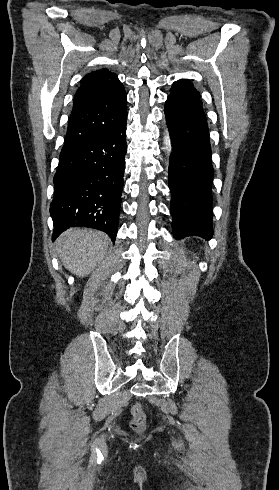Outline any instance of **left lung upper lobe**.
Returning a JSON list of instances; mask_svg holds the SVG:
<instances>
[{
  "mask_svg": "<svg viewBox=\"0 0 279 490\" xmlns=\"http://www.w3.org/2000/svg\"><path fill=\"white\" fill-rule=\"evenodd\" d=\"M187 104L202 107L200 95L193 84L187 80H179L171 89V95Z\"/></svg>",
  "mask_w": 279,
  "mask_h": 490,
  "instance_id": "left-lung-upper-lobe-1",
  "label": "left lung upper lobe"
}]
</instances>
